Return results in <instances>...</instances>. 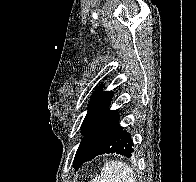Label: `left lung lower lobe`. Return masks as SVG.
I'll list each match as a JSON object with an SVG mask.
<instances>
[{
  "instance_id": "1",
  "label": "left lung lower lobe",
  "mask_w": 196,
  "mask_h": 182,
  "mask_svg": "<svg viewBox=\"0 0 196 182\" xmlns=\"http://www.w3.org/2000/svg\"><path fill=\"white\" fill-rule=\"evenodd\" d=\"M133 146L134 144L130 134L125 131L122 126L118 125L114 131L93 151L79 156L75 163V169L77 170L84 162L90 161L101 154L116 153L129 158L134 152Z\"/></svg>"
}]
</instances>
